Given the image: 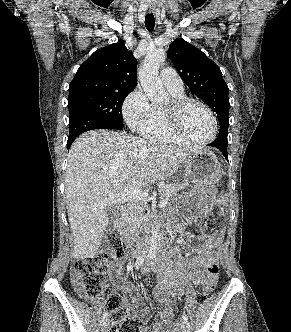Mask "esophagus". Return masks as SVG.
Masks as SVG:
<instances>
[{
  "instance_id": "esophagus-1",
  "label": "esophagus",
  "mask_w": 291,
  "mask_h": 332,
  "mask_svg": "<svg viewBox=\"0 0 291 332\" xmlns=\"http://www.w3.org/2000/svg\"><path fill=\"white\" fill-rule=\"evenodd\" d=\"M148 11H149V13H153L155 11L154 5H149Z\"/></svg>"
}]
</instances>
